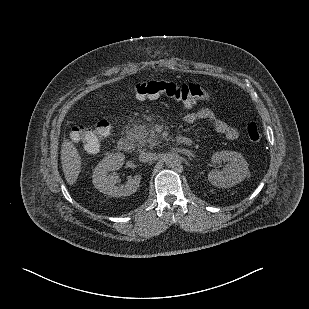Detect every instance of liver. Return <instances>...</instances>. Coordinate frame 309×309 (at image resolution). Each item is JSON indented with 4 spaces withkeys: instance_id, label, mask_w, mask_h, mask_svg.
Segmentation results:
<instances>
[{
    "instance_id": "1",
    "label": "liver",
    "mask_w": 309,
    "mask_h": 309,
    "mask_svg": "<svg viewBox=\"0 0 309 309\" xmlns=\"http://www.w3.org/2000/svg\"><path fill=\"white\" fill-rule=\"evenodd\" d=\"M62 169L66 181L72 185L76 182L81 169V157L76 147L65 140L61 149Z\"/></svg>"
}]
</instances>
